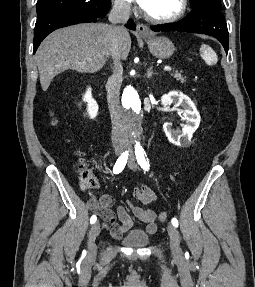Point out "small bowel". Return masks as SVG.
Returning <instances> with one entry per match:
<instances>
[{"label":"small bowel","mask_w":255,"mask_h":287,"mask_svg":"<svg viewBox=\"0 0 255 287\" xmlns=\"http://www.w3.org/2000/svg\"><path fill=\"white\" fill-rule=\"evenodd\" d=\"M133 197L140 204L147 205L156 201V193L148 186L137 185L133 191ZM114 198L110 195H102L98 200L91 199L89 201L90 209L97 213L103 219L104 228L108 229L111 235L119 239L127 233L133 221L128 212L130 210L134 217L146 225L145 229L148 233H155L157 230V214L151 210L144 208L132 201L126 206L119 205L116 212L113 211Z\"/></svg>","instance_id":"c3829d8e"}]
</instances>
